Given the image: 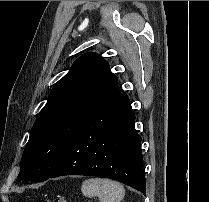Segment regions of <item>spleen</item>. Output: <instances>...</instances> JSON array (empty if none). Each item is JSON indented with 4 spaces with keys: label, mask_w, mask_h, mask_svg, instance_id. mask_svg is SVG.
<instances>
[{
    "label": "spleen",
    "mask_w": 209,
    "mask_h": 202,
    "mask_svg": "<svg viewBox=\"0 0 209 202\" xmlns=\"http://www.w3.org/2000/svg\"><path fill=\"white\" fill-rule=\"evenodd\" d=\"M81 191L85 197H98L100 202H121L125 196L123 185L101 178L86 179L82 183Z\"/></svg>",
    "instance_id": "obj_1"
}]
</instances>
